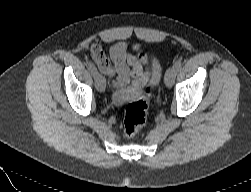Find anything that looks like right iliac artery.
I'll list each match as a JSON object with an SVG mask.
<instances>
[{"instance_id": "82829eb1", "label": "right iliac artery", "mask_w": 251, "mask_h": 192, "mask_svg": "<svg viewBox=\"0 0 251 192\" xmlns=\"http://www.w3.org/2000/svg\"><path fill=\"white\" fill-rule=\"evenodd\" d=\"M88 69L90 70L93 77H95L98 74L97 68L95 67V65L92 61L88 62Z\"/></svg>"}]
</instances>
